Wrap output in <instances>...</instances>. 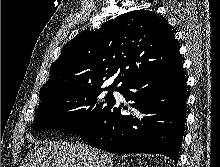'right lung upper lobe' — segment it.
I'll use <instances>...</instances> for the list:
<instances>
[{
  "mask_svg": "<svg viewBox=\"0 0 220 167\" xmlns=\"http://www.w3.org/2000/svg\"><path fill=\"white\" fill-rule=\"evenodd\" d=\"M181 64L168 22L152 11L134 10L107 21L99 30H84L65 44L40 90V100L66 90L101 87L118 70L108 89L119 90L134 79Z\"/></svg>",
  "mask_w": 220,
  "mask_h": 167,
  "instance_id": "right-lung-upper-lobe-1",
  "label": "right lung upper lobe"
}]
</instances>
